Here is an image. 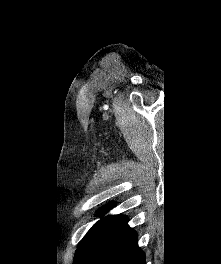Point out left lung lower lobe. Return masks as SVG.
Returning a JSON list of instances; mask_svg holds the SVG:
<instances>
[{"instance_id":"1","label":"left lung lower lobe","mask_w":221,"mask_h":264,"mask_svg":"<svg viewBox=\"0 0 221 264\" xmlns=\"http://www.w3.org/2000/svg\"><path fill=\"white\" fill-rule=\"evenodd\" d=\"M73 264H145V255L127 218L108 216L83 238Z\"/></svg>"}]
</instances>
